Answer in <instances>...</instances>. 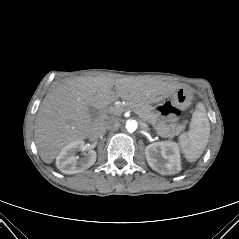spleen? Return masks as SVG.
Returning a JSON list of instances; mask_svg holds the SVG:
<instances>
[{
    "instance_id": "3e777b00",
    "label": "spleen",
    "mask_w": 239,
    "mask_h": 239,
    "mask_svg": "<svg viewBox=\"0 0 239 239\" xmlns=\"http://www.w3.org/2000/svg\"><path fill=\"white\" fill-rule=\"evenodd\" d=\"M210 122L203 103L192 114L190 129L178 138L181 152L188 162H195L203 154L210 137Z\"/></svg>"
}]
</instances>
